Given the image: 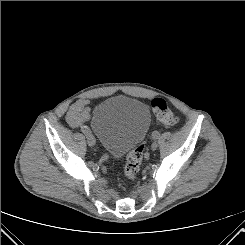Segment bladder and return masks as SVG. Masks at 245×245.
Segmentation results:
<instances>
[{
  "instance_id": "31cf9c89",
  "label": "bladder",
  "mask_w": 245,
  "mask_h": 245,
  "mask_svg": "<svg viewBox=\"0 0 245 245\" xmlns=\"http://www.w3.org/2000/svg\"><path fill=\"white\" fill-rule=\"evenodd\" d=\"M151 116L139 100L115 96L94 109L90 126L101 145L113 156H121L146 136Z\"/></svg>"
}]
</instances>
